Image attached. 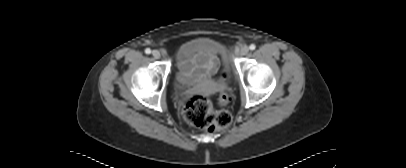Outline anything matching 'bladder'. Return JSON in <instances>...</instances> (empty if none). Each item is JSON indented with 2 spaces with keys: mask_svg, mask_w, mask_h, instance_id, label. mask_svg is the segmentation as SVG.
<instances>
[{
  "mask_svg": "<svg viewBox=\"0 0 406 168\" xmlns=\"http://www.w3.org/2000/svg\"><path fill=\"white\" fill-rule=\"evenodd\" d=\"M220 49V45L209 38H196L184 43L178 50L176 56V72L174 77V86L178 89H183L190 86L193 83V79L190 74H184L182 71V62L192 54L196 52L210 53L217 56L214 50Z\"/></svg>",
  "mask_w": 406,
  "mask_h": 168,
  "instance_id": "1",
  "label": "bladder"
}]
</instances>
